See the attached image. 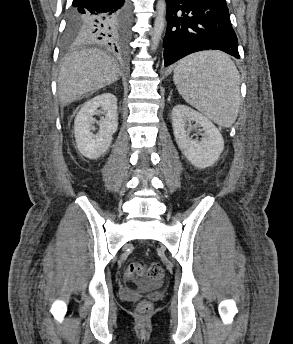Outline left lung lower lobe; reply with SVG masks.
I'll use <instances>...</instances> for the list:
<instances>
[{
    "label": "left lung lower lobe",
    "mask_w": 293,
    "mask_h": 344,
    "mask_svg": "<svg viewBox=\"0 0 293 344\" xmlns=\"http://www.w3.org/2000/svg\"><path fill=\"white\" fill-rule=\"evenodd\" d=\"M166 4L165 66L208 49L240 58L225 0H166Z\"/></svg>",
    "instance_id": "left-lung-lower-lobe-1"
}]
</instances>
